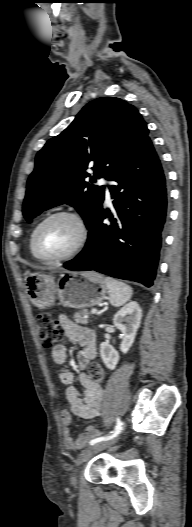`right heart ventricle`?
<instances>
[{
  "label": "right heart ventricle",
  "instance_id": "obj_1",
  "mask_svg": "<svg viewBox=\"0 0 192 527\" xmlns=\"http://www.w3.org/2000/svg\"><path fill=\"white\" fill-rule=\"evenodd\" d=\"M31 237H32V234H31ZM31 237H30V240H29V247H30V251H31V253H32V250H31ZM32 255H33V253H32ZM33 256H34V255H33Z\"/></svg>",
  "mask_w": 192,
  "mask_h": 527
}]
</instances>
